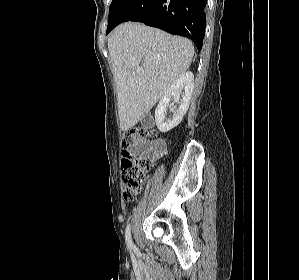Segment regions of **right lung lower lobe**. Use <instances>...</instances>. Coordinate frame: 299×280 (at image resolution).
I'll return each instance as SVG.
<instances>
[{
  "label": "right lung lower lobe",
  "mask_w": 299,
  "mask_h": 280,
  "mask_svg": "<svg viewBox=\"0 0 299 280\" xmlns=\"http://www.w3.org/2000/svg\"><path fill=\"white\" fill-rule=\"evenodd\" d=\"M206 0H128L111 29L125 21L143 22L191 39L201 50L205 34Z\"/></svg>",
  "instance_id": "obj_1"
}]
</instances>
